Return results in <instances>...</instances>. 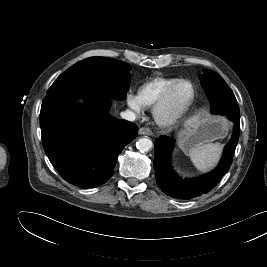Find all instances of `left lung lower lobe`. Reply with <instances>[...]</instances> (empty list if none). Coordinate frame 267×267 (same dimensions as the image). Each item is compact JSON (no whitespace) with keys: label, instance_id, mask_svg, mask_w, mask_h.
<instances>
[{"label":"left lung lower lobe","instance_id":"0a47b994","mask_svg":"<svg viewBox=\"0 0 267 267\" xmlns=\"http://www.w3.org/2000/svg\"><path fill=\"white\" fill-rule=\"evenodd\" d=\"M227 116L234 123L233 135L225 146L223 156L216 169L197 179H181L171 167V152L174 139L168 136H160L155 142L154 168L156 182L162 191L174 198L192 199L210 191L218 184L228 171L240 134V112L238 103H233L227 109H218L216 113Z\"/></svg>","mask_w":267,"mask_h":267}]
</instances>
